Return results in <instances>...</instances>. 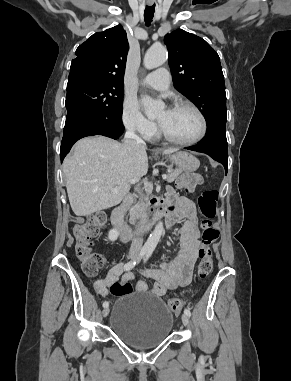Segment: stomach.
Listing matches in <instances>:
<instances>
[{
	"label": "stomach",
	"mask_w": 291,
	"mask_h": 381,
	"mask_svg": "<svg viewBox=\"0 0 291 381\" xmlns=\"http://www.w3.org/2000/svg\"><path fill=\"white\" fill-rule=\"evenodd\" d=\"M169 159L174 163L179 170L192 173L196 171L200 165L199 160L188 152H177L171 156Z\"/></svg>",
	"instance_id": "0dacf381"
}]
</instances>
